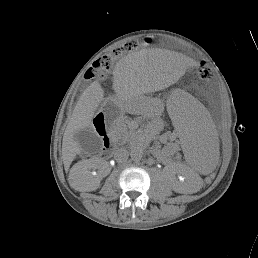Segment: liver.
Masks as SVG:
<instances>
[{"label": "liver", "mask_w": 258, "mask_h": 258, "mask_svg": "<svg viewBox=\"0 0 258 258\" xmlns=\"http://www.w3.org/2000/svg\"><path fill=\"white\" fill-rule=\"evenodd\" d=\"M127 64V66H124ZM166 75L157 63L148 62L140 58L139 53L133 54L119 62L114 71L113 89L120 100L126 101L133 91V84L139 76ZM104 100V91L98 81L92 82L79 98L72 116L64 132L62 141V159L65 169H68L77 154L82 152L80 144L74 139L75 134L90 127L95 111ZM77 170L75 165L69 174L70 185L78 191H89L92 183L83 177L73 175Z\"/></svg>", "instance_id": "obj_1"}]
</instances>
